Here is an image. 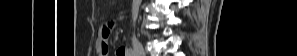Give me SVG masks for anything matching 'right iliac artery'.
<instances>
[{
  "instance_id": "obj_1",
  "label": "right iliac artery",
  "mask_w": 297,
  "mask_h": 56,
  "mask_svg": "<svg viewBox=\"0 0 297 56\" xmlns=\"http://www.w3.org/2000/svg\"><path fill=\"white\" fill-rule=\"evenodd\" d=\"M126 53H127L128 56H136L135 51L132 50V49H127V50H126Z\"/></svg>"
}]
</instances>
